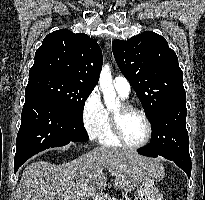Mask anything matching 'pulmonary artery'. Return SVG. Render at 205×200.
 <instances>
[{
	"label": "pulmonary artery",
	"mask_w": 205,
	"mask_h": 200,
	"mask_svg": "<svg viewBox=\"0 0 205 200\" xmlns=\"http://www.w3.org/2000/svg\"><path fill=\"white\" fill-rule=\"evenodd\" d=\"M113 86L121 97L127 98L130 93V83L123 76H117L113 80Z\"/></svg>",
	"instance_id": "obj_1"
}]
</instances>
